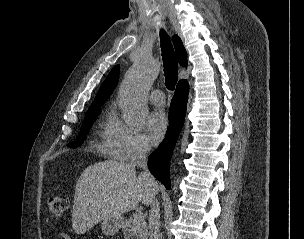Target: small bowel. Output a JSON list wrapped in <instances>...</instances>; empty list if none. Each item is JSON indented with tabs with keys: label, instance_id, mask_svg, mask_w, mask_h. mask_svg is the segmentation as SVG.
I'll return each mask as SVG.
<instances>
[{
	"label": "small bowel",
	"instance_id": "small-bowel-1",
	"mask_svg": "<svg viewBox=\"0 0 304 239\" xmlns=\"http://www.w3.org/2000/svg\"><path fill=\"white\" fill-rule=\"evenodd\" d=\"M58 237L60 239H70L69 235L66 234V233H64V232H60L59 235H58Z\"/></svg>",
	"mask_w": 304,
	"mask_h": 239
}]
</instances>
